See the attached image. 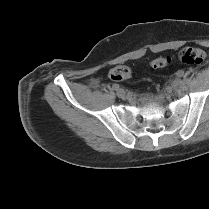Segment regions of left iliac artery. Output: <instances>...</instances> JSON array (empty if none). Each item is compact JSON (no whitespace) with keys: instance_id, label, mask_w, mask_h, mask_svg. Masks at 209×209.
<instances>
[{"instance_id":"44dca946","label":"left iliac artery","mask_w":209,"mask_h":209,"mask_svg":"<svg viewBox=\"0 0 209 209\" xmlns=\"http://www.w3.org/2000/svg\"><path fill=\"white\" fill-rule=\"evenodd\" d=\"M177 76L182 78L184 76L183 71H178Z\"/></svg>"}]
</instances>
